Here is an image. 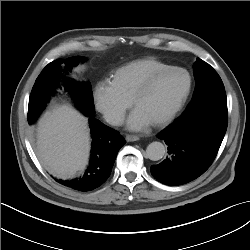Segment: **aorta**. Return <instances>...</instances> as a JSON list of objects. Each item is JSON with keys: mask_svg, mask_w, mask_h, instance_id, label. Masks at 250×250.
<instances>
[{"mask_svg": "<svg viewBox=\"0 0 250 250\" xmlns=\"http://www.w3.org/2000/svg\"><path fill=\"white\" fill-rule=\"evenodd\" d=\"M166 153L165 146L161 142H152L147 146L146 156L152 161H158L164 157Z\"/></svg>", "mask_w": 250, "mask_h": 250, "instance_id": "obj_1", "label": "aorta"}]
</instances>
